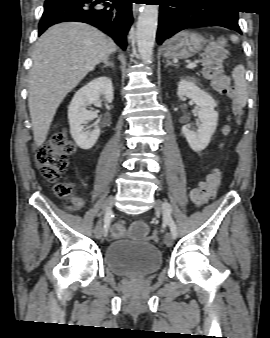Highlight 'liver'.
<instances>
[{"instance_id":"obj_1","label":"liver","mask_w":270,"mask_h":338,"mask_svg":"<svg viewBox=\"0 0 270 338\" xmlns=\"http://www.w3.org/2000/svg\"><path fill=\"white\" fill-rule=\"evenodd\" d=\"M116 51L98 29L80 22L50 27L35 44L29 75L28 106L34 142L41 146L57 108L79 82Z\"/></svg>"}]
</instances>
